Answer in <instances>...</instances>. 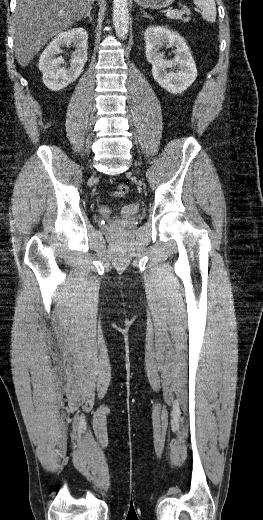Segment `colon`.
I'll list each match as a JSON object with an SVG mask.
<instances>
[{"label": "colon", "instance_id": "colon-1", "mask_svg": "<svg viewBox=\"0 0 263 520\" xmlns=\"http://www.w3.org/2000/svg\"><path fill=\"white\" fill-rule=\"evenodd\" d=\"M129 194V186L126 184H119L117 185L114 195L116 197L122 198Z\"/></svg>", "mask_w": 263, "mask_h": 520}]
</instances>
